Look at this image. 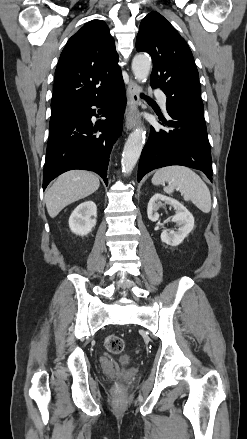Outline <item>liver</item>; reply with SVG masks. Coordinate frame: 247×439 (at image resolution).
<instances>
[{
    "mask_svg": "<svg viewBox=\"0 0 247 439\" xmlns=\"http://www.w3.org/2000/svg\"><path fill=\"white\" fill-rule=\"evenodd\" d=\"M100 186L96 175L84 170H71L60 175L45 193V203L51 218L67 205L83 199Z\"/></svg>",
    "mask_w": 247,
    "mask_h": 439,
    "instance_id": "liver-1",
    "label": "liver"
}]
</instances>
